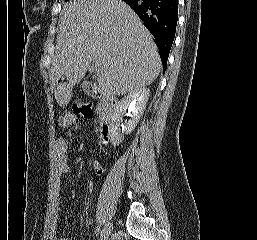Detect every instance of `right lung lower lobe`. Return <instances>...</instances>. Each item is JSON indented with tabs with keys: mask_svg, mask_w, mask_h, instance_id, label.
I'll return each mask as SVG.
<instances>
[{
	"mask_svg": "<svg viewBox=\"0 0 257 240\" xmlns=\"http://www.w3.org/2000/svg\"><path fill=\"white\" fill-rule=\"evenodd\" d=\"M137 13L155 38L160 51L163 71L175 37L178 0H123Z\"/></svg>",
	"mask_w": 257,
	"mask_h": 240,
	"instance_id": "98d812e1",
	"label": "right lung lower lobe"
}]
</instances>
